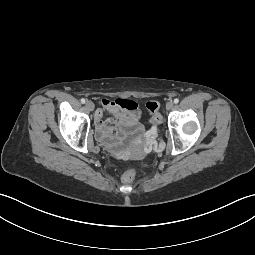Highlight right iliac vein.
Masks as SVG:
<instances>
[{
  "label": "right iliac vein",
  "instance_id": "63e3f726",
  "mask_svg": "<svg viewBox=\"0 0 255 255\" xmlns=\"http://www.w3.org/2000/svg\"><path fill=\"white\" fill-rule=\"evenodd\" d=\"M85 106H86V108H87V110H89V111H93L94 110V103L93 102H91V101H87L86 102V104H85Z\"/></svg>",
  "mask_w": 255,
  "mask_h": 255
}]
</instances>
